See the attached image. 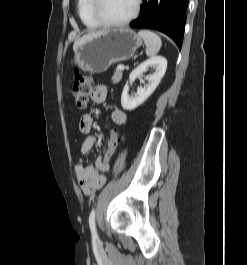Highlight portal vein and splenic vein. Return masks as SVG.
I'll return each mask as SVG.
<instances>
[{
  "mask_svg": "<svg viewBox=\"0 0 247 265\" xmlns=\"http://www.w3.org/2000/svg\"><path fill=\"white\" fill-rule=\"evenodd\" d=\"M124 68H125L124 65H118L117 67L118 70H124Z\"/></svg>",
  "mask_w": 247,
  "mask_h": 265,
  "instance_id": "portal-vein-and-splenic-vein-1",
  "label": "portal vein and splenic vein"
}]
</instances>
